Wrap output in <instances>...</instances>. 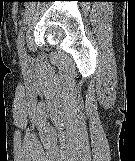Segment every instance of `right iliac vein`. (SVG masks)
I'll return each mask as SVG.
<instances>
[{
    "label": "right iliac vein",
    "instance_id": "right-iliac-vein-1",
    "mask_svg": "<svg viewBox=\"0 0 135 161\" xmlns=\"http://www.w3.org/2000/svg\"><path fill=\"white\" fill-rule=\"evenodd\" d=\"M24 59L27 60V54L24 56Z\"/></svg>",
    "mask_w": 135,
    "mask_h": 161
}]
</instances>
